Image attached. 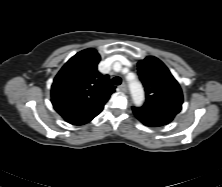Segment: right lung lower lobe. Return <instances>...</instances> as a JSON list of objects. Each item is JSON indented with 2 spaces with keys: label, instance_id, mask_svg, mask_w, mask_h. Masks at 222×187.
<instances>
[{
  "label": "right lung lower lobe",
  "instance_id": "right-lung-lower-lobe-1",
  "mask_svg": "<svg viewBox=\"0 0 222 187\" xmlns=\"http://www.w3.org/2000/svg\"><path fill=\"white\" fill-rule=\"evenodd\" d=\"M85 123H87V122H82V123H72V124H74V125H83V124H85Z\"/></svg>",
  "mask_w": 222,
  "mask_h": 187
}]
</instances>
